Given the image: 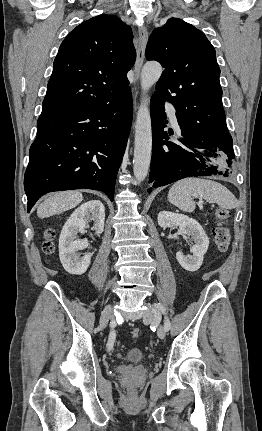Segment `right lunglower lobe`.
Returning <instances> with one entry per match:
<instances>
[{
	"label": "right lung lower lobe",
	"instance_id": "1",
	"mask_svg": "<svg viewBox=\"0 0 262 431\" xmlns=\"http://www.w3.org/2000/svg\"><path fill=\"white\" fill-rule=\"evenodd\" d=\"M131 121V89L105 106L43 110L24 176L28 212L59 190H100L113 201Z\"/></svg>",
	"mask_w": 262,
	"mask_h": 431
}]
</instances>
